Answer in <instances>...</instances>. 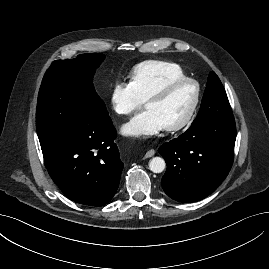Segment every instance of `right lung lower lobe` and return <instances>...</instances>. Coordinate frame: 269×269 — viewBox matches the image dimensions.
Masks as SVG:
<instances>
[{
  "instance_id": "98d812e1",
  "label": "right lung lower lobe",
  "mask_w": 269,
  "mask_h": 269,
  "mask_svg": "<svg viewBox=\"0 0 269 269\" xmlns=\"http://www.w3.org/2000/svg\"><path fill=\"white\" fill-rule=\"evenodd\" d=\"M112 121L87 125L41 144L46 168L71 200L90 206L107 204L115 195L123 169L114 143Z\"/></svg>"
}]
</instances>
